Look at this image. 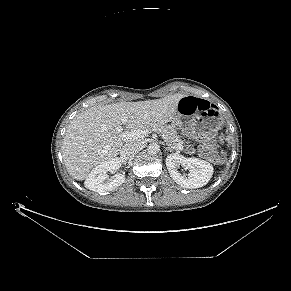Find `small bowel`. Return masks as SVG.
<instances>
[{
  "instance_id": "c3829d8e",
  "label": "small bowel",
  "mask_w": 291,
  "mask_h": 291,
  "mask_svg": "<svg viewBox=\"0 0 291 291\" xmlns=\"http://www.w3.org/2000/svg\"><path fill=\"white\" fill-rule=\"evenodd\" d=\"M184 99H188V100H194V99H198L196 97H193V96H186L184 97Z\"/></svg>"
}]
</instances>
